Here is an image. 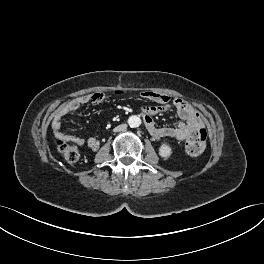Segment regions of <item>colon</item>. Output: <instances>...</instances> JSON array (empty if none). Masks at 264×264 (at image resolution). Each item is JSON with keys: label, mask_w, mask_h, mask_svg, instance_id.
I'll use <instances>...</instances> for the list:
<instances>
[{"label": "colon", "mask_w": 264, "mask_h": 264, "mask_svg": "<svg viewBox=\"0 0 264 264\" xmlns=\"http://www.w3.org/2000/svg\"><path fill=\"white\" fill-rule=\"evenodd\" d=\"M206 147V131L204 129L197 130L185 142L186 152L191 156H199ZM57 149L64 160L70 164L76 163L80 159V150L77 146L60 139L57 142Z\"/></svg>", "instance_id": "obj_1"}]
</instances>
